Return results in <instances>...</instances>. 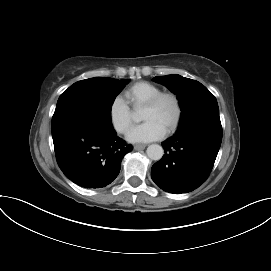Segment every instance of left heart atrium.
I'll return each mask as SVG.
<instances>
[{
    "instance_id": "1",
    "label": "left heart atrium",
    "mask_w": 271,
    "mask_h": 271,
    "mask_svg": "<svg viewBox=\"0 0 271 271\" xmlns=\"http://www.w3.org/2000/svg\"><path fill=\"white\" fill-rule=\"evenodd\" d=\"M166 130L154 120H147L144 123L133 127L127 134L130 142H150L161 139Z\"/></svg>"
}]
</instances>
